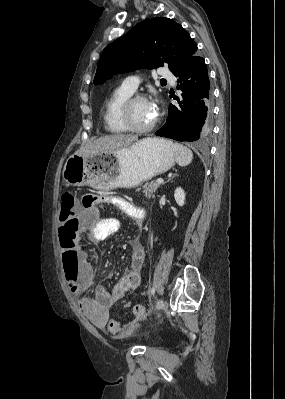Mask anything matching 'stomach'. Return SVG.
<instances>
[{
    "instance_id": "1",
    "label": "stomach",
    "mask_w": 285,
    "mask_h": 399,
    "mask_svg": "<svg viewBox=\"0 0 285 399\" xmlns=\"http://www.w3.org/2000/svg\"><path fill=\"white\" fill-rule=\"evenodd\" d=\"M174 163L169 141L147 138L113 154H73L66 160L62 177L67 185L108 191L137 186L165 173Z\"/></svg>"
}]
</instances>
